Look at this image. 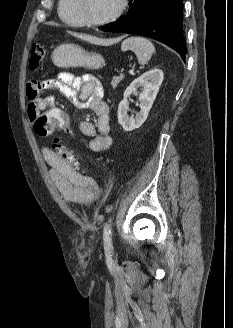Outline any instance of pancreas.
<instances>
[{
	"label": "pancreas",
	"mask_w": 233,
	"mask_h": 328,
	"mask_svg": "<svg viewBox=\"0 0 233 328\" xmlns=\"http://www.w3.org/2000/svg\"><path fill=\"white\" fill-rule=\"evenodd\" d=\"M123 78H124L123 74H120L119 76H114L112 81H111V86L113 88H116L117 85L123 80Z\"/></svg>",
	"instance_id": "cf45deb5"
}]
</instances>
